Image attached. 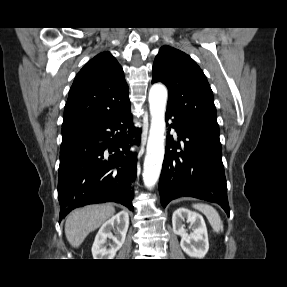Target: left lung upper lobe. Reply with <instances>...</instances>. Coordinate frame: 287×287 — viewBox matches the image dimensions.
I'll return each instance as SVG.
<instances>
[{"instance_id": "obj_1", "label": "left lung upper lobe", "mask_w": 287, "mask_h": 287, "mask_svg": "<svg viewBox=\"0 0 287 287\" xmlns=\"http://www.w3.org/2000/svg\"><path fill=\"white\" fill-rule=\"evenodd\" d=\"M166 84L167 111L220 143L219 125L210 85L200 67L184 52L163 46L153 64L152 83Z\"/></svg>"}]
</instances>
